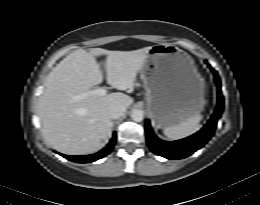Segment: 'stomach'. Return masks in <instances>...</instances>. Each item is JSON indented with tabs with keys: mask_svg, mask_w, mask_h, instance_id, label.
I'll use <instances>...</instances> for the list:
<instances>
[{
	"mask_svg": "<svg viewBox=\"0 0 260 205\" xmlns=\"http://www.w3.org/2000/svg\"><path fill=\"white\" fill-rule=\"evenodd\" d=\"M147 111L161 129L178 125L204 109V79L193 58L171 44L150 48L141 70Z\"/></svg>",
	"mask_w": 260,
	"mask_h": 205,
	"instance_id": "stomach-1",
	"label": "stomach"
}]
</instances>
